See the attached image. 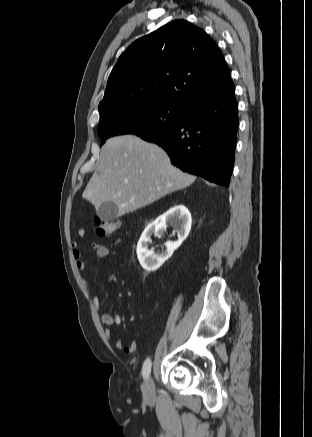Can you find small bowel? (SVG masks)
<instances>
[{"mask_svg":"<svg viewBox=\"0 0 312 437\" xmlns=\"http://www.w3.org/2000/svg\"><path fill=\"white\" fill-rule=\"evenodd\" d=\"M85 234H86V232L84 229L78 230V236L80 238H83L85 236ZM91 246H92V249L94 250L95 256L97 258L102 259V258H105L109 255V248L107 246L102 245V244L97 243V242H93ZM72 252H73V257H74L76 267L79 270L83 271L85 269V263L83 261V255H82V252H81L77 242L72 243ZM83 283H84V286L86 287V289L88 290V292L90 293L96 309L100 312H103V314L101 316V322L106 327L105 328L106 338L113 342L115 348L122 350L124 353H126V354L135 353L137 350V342L135 340L131 341L127 345H124L123 342L119 338H117L114 335L113 331L111 330L112 326H117V325H120L122 323V321H123L122 316L120 314H117V313L104 312V310L106 308L105 300H102L100 298L98 293L92 288V286L90 285L89 281L86 278H83Z\"/></svg>","mask_w":312,"mask_h":437,"instance_id":"1","label":"small bowel"}]
</instances>
